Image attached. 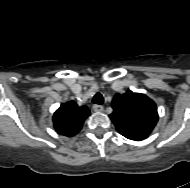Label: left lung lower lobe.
<instances>
[{
  "mask_svg": "<svg viewBox=\"0 0 190 188\" xmlns=\"http://www.w3.org/2000/svg\"><path fill=\"white\" fill-rule=\"evenodd\" d=\"M119 133L128 139L136 140V141H140V140L147 138V136H145V135L136 134V133H132V132H128V131L119 132Z\"/></svg>",
  "mask_w": 190,
  "mask_h": 188,
  "instance_id": "0a47b994",
  "label": "left lung lower lobe"
}]
</instances>
